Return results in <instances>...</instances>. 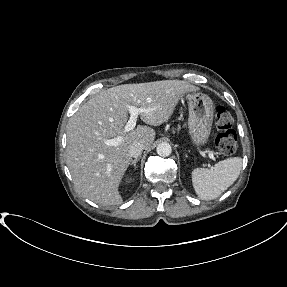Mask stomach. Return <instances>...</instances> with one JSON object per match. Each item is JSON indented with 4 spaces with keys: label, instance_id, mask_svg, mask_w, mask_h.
Listing matches in <instances>:
<instances>
[{
    "label": "stomach",
    "instance_id": "obj_1",
    "mask_svg": "<svg viewBox=\"0 0 287 287\" xmlns=\"http://www.w3.org/2000/svg\"><path fill=\"white\" fill-rule=\"evenodd\" d=\"M187 98L190 136L195 145L201 146L207 143L211 133L214 117L213 101L200 92L189 94Z\"/></svg>",
    "mask_w": 287,
    "mask_h": 287
}]
</instances>
